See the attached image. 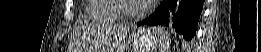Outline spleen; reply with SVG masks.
I'll use <instances>...</instances> for the list:
<instances>
[{"instance_id": "3e777b00", "label": "spleen", "mask_w": 261, "mask_h": 52, "mask_svg": "<svg viewBox=\"0 0 261 52\" xmlns=\"http://www.w3.org/2000/svg\"><path fill=\"white\" fill-rule=\"evenodd\" d=\"M160 31V42H159V49L161 52H166L169 47V40L167 33L163 32L162 29H159Z\"/></svg>"}]
</instances>
